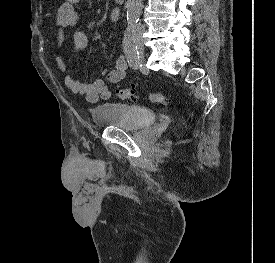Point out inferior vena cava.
<instances>
[{
	"label": "inferior vena cava",
	"mask_w": 275,
	"mask_h": 263,
	"mask_svg": "<svg viewBox=\"0 0 275 263\" xmlns=\"http://www.w3.org/2000/svg\"><path fill=\"white\" fill-rule=\"evenodd\" d=\"M134 31L141 33V32L144 31V26L142 24H140V23L136 24L135 27H134Z\"/></svg>",
	"instance_id": "inferior-vena-cava-1"
}]
</instances>
